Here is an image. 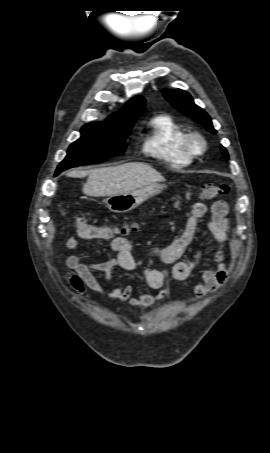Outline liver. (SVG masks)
<instances>
[{
    "label": "liver",
    "mask_w": 270,
    "mask_h": 453,
    "mask_svg": "<svg viewBox=\"0 0 270 453\" xmlns=\"http://www.w3.org/2000/svg\"><path fill=\"white\" fill-rule=\"evenodd\" d=\"M86 175L88 179L83 187V193L93 197L125 194L165 180L157 170L141 162L89 171H71L67 174L73 178H82Z\"/></svg>",
    "instance_id": "liver-1"
}]
</instances>
